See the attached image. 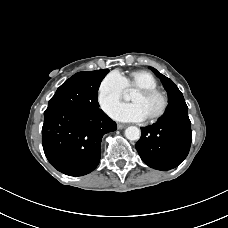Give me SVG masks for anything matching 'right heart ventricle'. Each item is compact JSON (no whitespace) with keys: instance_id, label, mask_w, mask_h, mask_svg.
Segmentation results:
<instances>
[{"instance_id":"1","label":"right heart ventricle","mask_w":228,"mask_h":228,"mask_svg":"<svg viewBox=\"0 0 228 228\" xmlns=\"http://www.w3.org/2000/svg\"><path fill=\"white\" fill-rule=\"evenodd\" d=\"M119 75L123 81L124 88L127 90L158 87L156 78L150 72L145 70H133Z\"/></svg>"}]
</instances>
